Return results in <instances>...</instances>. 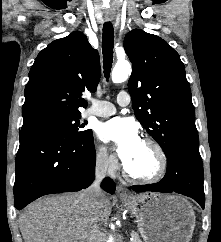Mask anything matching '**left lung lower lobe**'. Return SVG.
<instances>
[{
	"label": "left lung lower lobe",
	"mask_w": 221,
	"mask_h": 242,
	"mask_svg": "<svg viewBox=\"0 0 221 242\" xmlns=\"http://www.w3.org/2000/svg\"><path fill=\"white\" fill-rule=\"evenodd\" d=\"M166 157L167 172L160 182L132 186V190L180 193L193 198L204 209L203 163L199 146L178 145Z\"/></svg>",
	"instance_id": "left-lung-lower-lobe-1"
}]
</instances>
